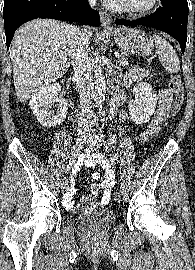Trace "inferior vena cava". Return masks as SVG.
I'll use <instances>...</instances> for the list:
<instances>
[{"label": "inferior vena cava", "mask_w": 195, "mask_h": 270, "mask_svg": "<svg viewBox=\"0 0 195 270\" xmlns=\"http://www.w3.org/2000/svg\"><path fill=\"white\" fill-rule=\"evenodd\" d=\"M92 7L96 0H89ZM71 64L73 66V78L76 81L80 95V115L83 117L81 129L91 131L87 119L91 116L94 84L91 76V59L89 56V34L87 29H81L75 33ZM87 118V119H86Z\"/></svg>", "instance_id": "602c4592"}]
</instances>
